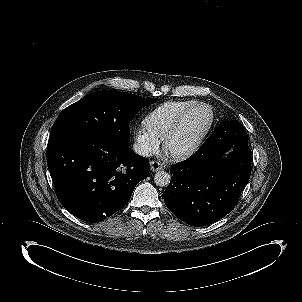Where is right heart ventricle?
<instances>
[{
  "label": "right heart ventricle",
  "mask_w": 302,
  "mask_h": 302,
  "mask_svg": "<svg viewBox=\"0 0 302 302\" xmlns=\"http://www.w3.org/2000/svg\"><path fill=\"white\" fill-rule=\"evenodd\" d=\"M192 105L190 102H168L162 105L146 119L147 130L152 136L164 138L177 118Z\"/></svg>",
  "instance_id": "e07e8e85"
}]
</instances>
